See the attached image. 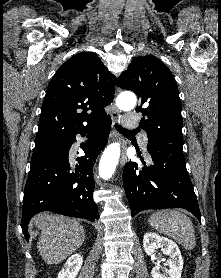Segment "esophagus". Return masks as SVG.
<instances>
[{"label": "esophagus", "mask_w": 221, "mask_h": 278, "mask_svg": "<svg viewBox=\"0 0 221 278\" xmlns=\"http://www.w3.org/2000/svg\"><path fill=\"white\" fill-rule=\"evenodd\" d=\"M119 114H120L119 109L115 105H113V109H112V113H111L112 119L114 121H117ZM113 137L118 138V134L116 131H113ZM126 162H127V157H126L125 147L123 145L122 146V154H121V166H124V164Z\"/></svg>", "instance_id": "1"}]
</instances>
